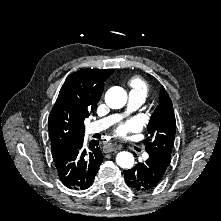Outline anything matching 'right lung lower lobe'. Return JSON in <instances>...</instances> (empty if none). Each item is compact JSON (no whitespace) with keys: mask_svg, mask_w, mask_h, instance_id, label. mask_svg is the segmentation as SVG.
Masks as SVG:
<instances>
[{"mask_svg":"<svg viewBox=\"0 0 221 221\" xmlns=\"http://www.w3.org/2000/svg\"><path fill=\"white\" fill-rule=\"evenodd\" d=\"M98 141L84 146V137L66 145L53 154V159L62 183L72 189H87L93 182L102 163Z\"/></svg>","mask_w":221,"mask_h":221,"instance_id":"98d812e1","label":"right lung lower lobe"}]
</instances>
